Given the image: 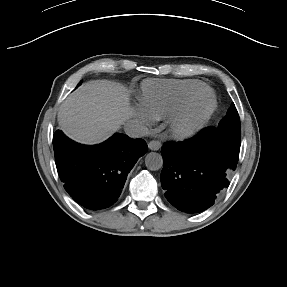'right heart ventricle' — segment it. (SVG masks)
<instances>
[{
  "label": "right heart ventricle",
  "mask_w": 287,
  "mask_h": 287,
  "mask_svg": "<svg viewBox=\"0 0 287 287\" xmlns=\"http://www.w3.org/2000/svg\"><path fill=\"white\" fill-rule=\"evenodd\" d=\"M204 87L199 80L148 79L141 85L139 100L153 119L168 118L188 95Z\"/></svg>",
  "instance_id": "obj_1"
}]
</instances>
